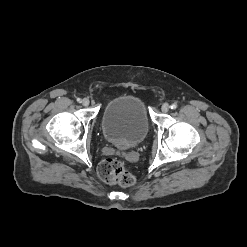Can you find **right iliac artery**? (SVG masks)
Segmentation results:
<instances>
[{
    "label": "right iliac artery",
    "instance_id": "obj_1",
    "mask_svg": "<svg viewBox=\"0 0 247 247\" xmlns=\"http://www.w3.org/2000/svg\"><path fill=\"white\" fill-rule=\"evenodd\" d=\"M77 102L81 103V98H77Z\"/></svg>",
    "mask_w": 247,
    "mask_h": 247
}]
</instances>
